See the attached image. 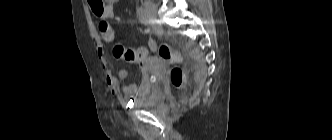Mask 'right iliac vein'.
<instances>
[{
    "label": "right iliac vein",
    "mask_w": 332,
    "mask_h": 140,
    "mask_svg": "<svg viewBox=\"0 0 332 140\" xmlns=\"http://www.w3.org/2000/svg\"><path fill=\"white\" fill-rule=\"evenodd\" d=\"M144 8L147 14V17L151 21H156L157 18V7L151 0L144 1Z\"/></svg>",
    "instance_id": "obj_1"
}]
</instances>
